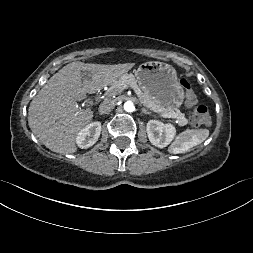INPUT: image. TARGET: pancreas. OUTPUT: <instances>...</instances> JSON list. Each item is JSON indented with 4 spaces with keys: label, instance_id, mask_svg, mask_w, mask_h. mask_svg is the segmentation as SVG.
Returning a JSON list of instances; mask_svg holds the SVG:
<instances>
[{
    "label": "pancreas",
    "instance_id": "pancreas-1",
    "mask_svg": "<svg viewBox=\"0 0 253 253\" xmlns=\"http://www.w3.org/2000/svg\"><path fill=\"white\" fill-rule=\"evenodd\" d=\"M123 85L130 86L138 96L140 102L147 107L148 109L159 113V114H174L178 120L180 126H184L188 123V120L185 118V115L180 111H168L162 107L152 96L144 92L136 82V79L133 74H125L121 76L115 83H113L109 88V95L114 96L123 91Z\"/></svg>",
    "mask_w": 253,
    "mask_h": 253
}]
</instances>
